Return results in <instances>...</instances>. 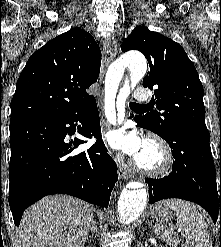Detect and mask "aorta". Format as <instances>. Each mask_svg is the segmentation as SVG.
Segmentation results:
<instances>
[{
  "instance_id": "1",
  "label": "aorta",
  "mask_w": 221,
  "mask_h": 247,
  "mask_svg": "<svg viewBox=\"0 0 221 247\" xmlns=\"http://www.w3.org/2000/svg\"><path fill=\"white\" fill-rule=\"evenodd\" d=\"M125 69L129 73L131 82H137L145 75L147 70L145 57L139 52H129L110 65L105 78V113L111 122L116 117L115 98ZM147 197L148 193L145 188L124 189L121 192L117 206L120 216L119 221L122 224H130L135 221L144 210Z\"/></svg>"
}]
</instances>
